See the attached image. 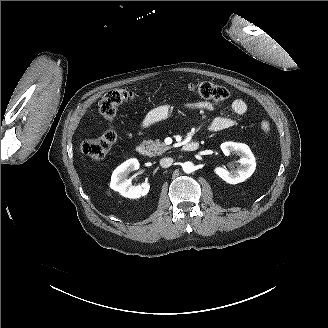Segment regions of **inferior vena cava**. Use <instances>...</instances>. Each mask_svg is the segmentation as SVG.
Listing matches in <instances>:
<instances>
[{
  "label": "inferior vena cava",
  "instance_id": "602c4592",
  "mask_svg": "<svg viewBox=\"0 0 328 328\" xmlns=\"http://www.w3.org/2000/svg\"><path fill=\"white\" fill-rule=\"evenodd\" d=\"M173 163V158H170V157H166V158H162L160 160V165L161 167L163 168H168L172 165Z\"/></svg>",
  "mask_w": 328,
  "mask_h": 328
}]
</instances>
